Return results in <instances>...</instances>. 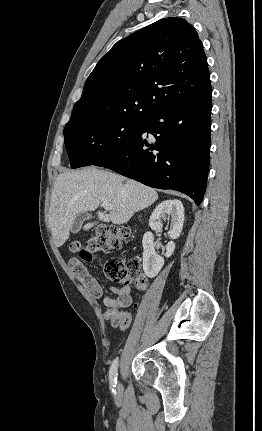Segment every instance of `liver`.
Wrapping results in <instances>:
<instances>
[{"label": "liver", "instance_id": "6515ba94", "mask_svg": "<svg viewBox=\"0 0 262 431\" xmlns=\"http://www.w3.org/2000/svg\"><path fill=\"white\" fill-rule=\"evenodd\" d=\"M157 199L155 189L94 166L63 172L54 184L49 208L54 243L57 247L62 246L69 238L76 215L83 211H95L100 203L108 202L112 209L108 214L98 211V219L120 225ZM95 224L97 222L88 223L84 229L88 230Z\"/></svg>", "mask_w": 262, "mask_h": 431}]
</instances>
